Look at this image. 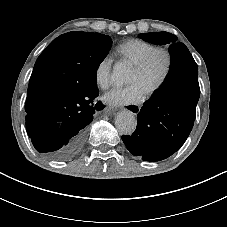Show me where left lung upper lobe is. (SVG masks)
Wrapping results in <instances>:
<instances>
[{
    "instance_id": "left-lung-upper-lobe-1",
    "label": "left lung upper lobe",
    "mask_w": 227,
    "mask_h": 227,
    "mask_svg": "<svg viewBox=\"0 0 227 227\" xmlns=\"http://www.w3.org/2000/svg\"><path fill=\"white\" fill-rule=\"evenodd\" d=\"M139 37L153 44H158V45L169 44L170 55L175 53L180 48L186 47L183 43L177 42V37L175 35L167 32L145 33V34H140Z\"/></svg>"
}]
</instances>
